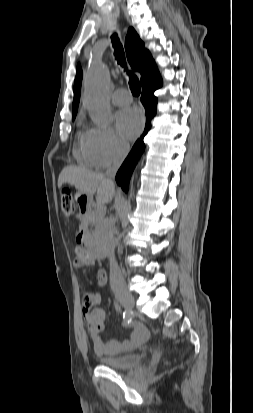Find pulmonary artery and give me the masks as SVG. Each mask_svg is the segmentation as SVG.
<instances>
[{
	"label": "pulmonary artery",
	"instance_id": "e3ab8cb5",
	"mask_svg": "<svg viewBox=\"0 0 253 413\" xmlns=\"http://www.w3.org/2000/svg\"><path fill=\"white\" fill-rule=\"evenodd\" d=\"M111 100L117 106H124L132 102V97L125 89H117L112 93Z\"/></svg>",
	"mask_w": 253,
	"mask_h": 413
}]
</instances>
